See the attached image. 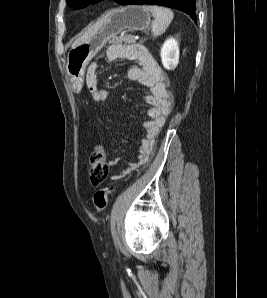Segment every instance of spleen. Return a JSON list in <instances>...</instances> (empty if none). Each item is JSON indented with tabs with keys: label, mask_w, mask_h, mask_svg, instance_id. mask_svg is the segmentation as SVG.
Here are the masks:
<instances>
[{
	"label": "spleen",
	"mask_w": 267,
	"mask_h": 298,
	"mask_svg": "<svg viewBox=\"0 0 267 298\" xmlns=\"http://www.w3.org/2000/svg\"><path fill=\"white\" fill-rule=\"evenodd\" d=\"M145 10L152 13L154 20L152 22V33L154 36L158 37L165 33L166 29L173 20L174 13L165 7L148 5L143 6Z\"/></svg>",
	"instance_id": "1"
}]
</instances>
